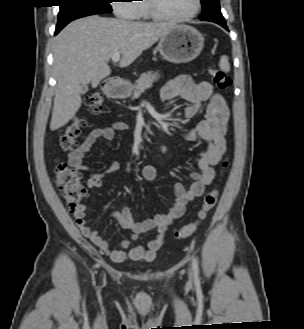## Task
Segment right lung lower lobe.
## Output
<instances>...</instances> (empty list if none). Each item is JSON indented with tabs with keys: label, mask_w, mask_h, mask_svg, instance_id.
<instances>
[{
	"label": "right lung lower lobe",
	"mask_w": 304,
	"mask_h": 329,
	"mask_svg": "<svg viewBox=\"0 0 304 329\" xmlns=\"http://www.w3.org/2000/svg\"><path fill=\"white\" fill-rule=\"evenodd\" d=\"M64 26L56 27L55 35L63 28Z\"/></svg>",
	"instance_id": "98d812e1"
}]
</instances>
